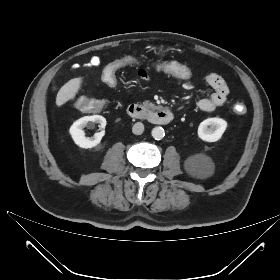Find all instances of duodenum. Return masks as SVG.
Segmentation results:
<instances>
[{"instance_id": "duodenum-1", "label": "duodenum", "mask_w": 280, "mask_h": 280, "mask_svg": "<svg viewBox=\"0 0 280 280\" xmlns=\"http://www.w3.org/2000/svg\"><path fill=\"white\" fill-rule=\"evenodd\" d=\"M129 117L133 119H145L157 125H167L173 118L174 114L170 110L163 109L156 112H148L144 107L137 103H131L127 107Z\"/></svg>"}]
</instances>
